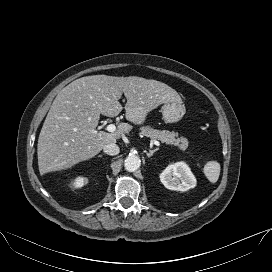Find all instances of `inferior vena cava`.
Returning a JSON list of instances; mask_svg holds the SVG:
<instances>
[{"instance_id":"1","label":"inferior vena cava","mask_w":272,"mask_h":272,"mask_svg":"<svg viewBox=\"0 0 272 272\" xmlns=\"http://www.w3.org/2000/svg\"><path fill=\"white\" fill-rule=\"evenodd\" d=\"M103 151L107 155L114 156L117 155L120 150L118 145H116L115 143H109L104 146Z\"/></svg>"}]
</instances>
